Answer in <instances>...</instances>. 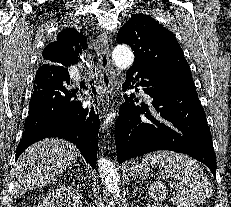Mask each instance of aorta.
<instances>
[{"label": "aorta", "instance_id": "762f6f07", "mask_svg": "<svg viewBox=\"0 0 231 207\" xmlns=\"http://www.w3.org/2000/svg\"><path fill=\"white\" fill-rule=\"evenodd\" d=\"M112 59L116 67L121 70L128 69L132 66L134 62V54L130 47L126 45H118L112 53ZM118 112L116 110L109 113L106 117V120L103 122V128H106L108 124L117 117ZM99 175L102 181V184L108 191L111 196L110 206H115L116 201L119 197V188H120V176L115 167V165L106 158H99L97 160Z\"/></svg>", "mask_w": 231, "mask_h": 207}]
</instances>
